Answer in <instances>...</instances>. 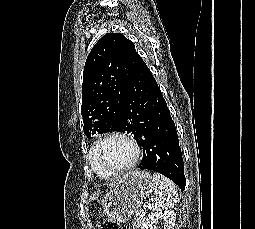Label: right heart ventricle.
<instances>
[{"instance_id": "1", "label": "right heart ventricle", "mask_w": 255, "mask_h": 229, "mask_svg": "<svg viewBox=\"0 0 255 229\" xmlns=\"http://www.w3.org/2000/svg\"><path fill=\"white\" fill-rule=\"evenodd\" d=\"M88 162H89V165L91 166V169L94 171V173L100 177V178H103V179H109L111 178L112 176H109L100 166H98L94 161H92V156H91V153L89 151V154H88Z\"/></svg>"}]
</instances>
